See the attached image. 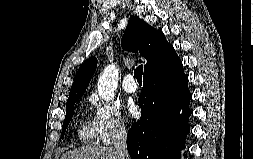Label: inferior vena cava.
<instances>
[{
  "mask_svg": "<svg viewBox=\"0 0 253 159\" xmlns=\"http://www.w3.org/2000/svg\"><path fill=\"white\" fill-rule=\"evenodd\" d=\"M126 129L124 125H118L114 134L113 149L118 154L119 159H130L126 146Z\"/></svg>",
  "mask_w": 253,
  "mask_h": 159,
  "instance_id": "602c4592",
  "label": "inferior vena cava"
}]
</instances>
